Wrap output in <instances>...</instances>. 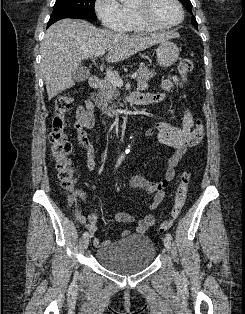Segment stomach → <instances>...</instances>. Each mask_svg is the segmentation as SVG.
<instances>
[{
	"label": "stomach",
	"mask_w": 245,
	"mask_h": 314,
	"mask_svg": "<svg viewBox=\"0 0 245 314\" xmlns=\"http://www.w3.org/2000/svg\"><path fill=\"white\" fill-rule=\"evenodd\" d=\"M179 48L170 41L160 42L156 49L157 61L161 67L167 68L173 65L179 58Z\"/></svg>",
	"instance_id": "0dacf381"
}]
</instances>
